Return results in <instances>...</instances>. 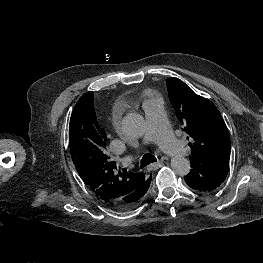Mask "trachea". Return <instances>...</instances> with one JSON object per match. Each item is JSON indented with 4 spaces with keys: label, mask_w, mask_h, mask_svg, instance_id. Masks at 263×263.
I'll use <instances>...</instances> for the list:
<instances>
[{
    "label": "trachea",
    "mask_w": 263,
    "mask_h": 263,
    "mask_svg": "<svg viewBox=\"0 0 263 263\" xmlns=\"http://www.w3.org/2000/svg\"><path fill=\"white\" fill-rule=\"evenodd\" d=\"M156 161H157V159H156V157L154 155L147 153V154H145L142 157L141 163H140V167L144 168L147 165H149L150 163H153V162H156Z\"/></svg>",
    "instance_id": "1"
}]
</instances>
